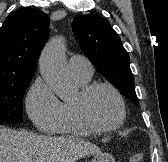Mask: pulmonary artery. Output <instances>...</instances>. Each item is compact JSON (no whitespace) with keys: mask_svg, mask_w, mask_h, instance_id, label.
Here are the masks:
<instances>
[{"mask_svg":"<svg viewBox=\"0 0 168 162\" xmlns=\"http://www.w3.org/2000/svg\"><path fill=\"white\" fill-rule=\"evenodd\" d=\"M69 69L75 78L90 80L93 75L91 62L80 55H73L68 61Z\"/></svg>","mask_w":168,"mask_h":162,"instance_id":"obj_1","label":"pulmonary artery"}]
</instances>
